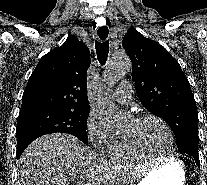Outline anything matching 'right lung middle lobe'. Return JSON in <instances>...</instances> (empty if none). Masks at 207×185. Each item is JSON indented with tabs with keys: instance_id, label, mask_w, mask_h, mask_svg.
<instances>
[{
	"instance_id": "1",
	"label": "right lung middle lobe",
	"mask_w": 207,
	"mask_h": 185,
	"mask_svg": "<svg viewBox=\"0 0 207 185\" xmlns=\"http://www.w3.org/2000/svg\"><path fill=\"white\" fill-rule=\"evenodd\" d=\"M88 115L89 112L50 108L20 111L16 128L17 158L33 140L49 133H68L88 144Z\"/></svg>"
}]
</instances>
